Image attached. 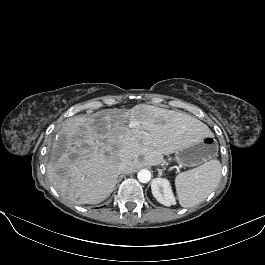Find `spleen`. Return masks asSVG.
Listing matches in <instances>:
<instances>
[{
	"label": "spleen",
	"mask_w": 265,
	"mask_h": 265,
	"mask_svg": "<svg viewBox=\"0 0 265 265\" xmlns=\"http://www.w3.org/2000/svg\"><path fill=\"white\" fill-rule=\"evenodd\" d=\"M221 169L220 161L212 159L178 174L175 178V187L179 204L188 208L205 200L219 184Z\"/></svg>",
	"instance_id": "spleen-1"
}]
</instances>
